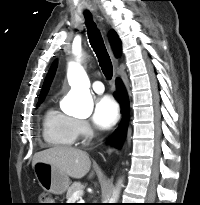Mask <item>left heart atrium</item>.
I'll return each instance as SVG.
<instances>
[{"label":"left heart atrium","instance_id":"39dd6f15","mask_svg":"<svg viewBox=\"0 0 200 205\" xmlns=\"http://www.w3.org/2000/svg\"><path fill=\"white\" fill-rule=\"evenodd\" d=\"M119 119V106L111 96L101 97L95 104L93 121L102 128L112 127Z\"/></svg>","mask_w":200,"mask_h":205}]
</instances>
